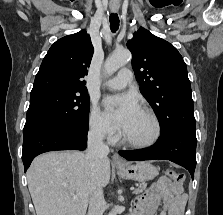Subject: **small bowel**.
Returning a JSON list of instances; mask_svg holds the SVG:
<instances>
[{
	"instance_id": "small-bowel-1",
	"label": "small bowel",
	"mask_w": 223,
	"mask_h": 215,
	"mask_svg": "<svg viewBox=\"0 0 223 215\" xmlns=\"http://www.w3.org/2000/svg\"><path fill=\"white\" fill-rule=\"evenodd\" d=\"M160 205V215H183L186 205L185 197L180 195V187L165 177L137 198L133 215H154Z\"/></svg>"
}]
</instances>
